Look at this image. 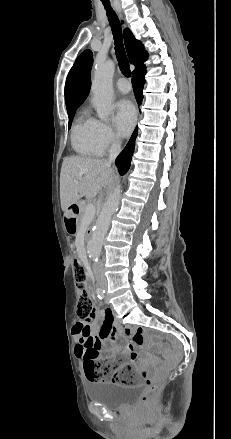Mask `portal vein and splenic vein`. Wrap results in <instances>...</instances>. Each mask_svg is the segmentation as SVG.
<instances>
[{"instance_id":"18ae733b","label":"portal vein and splenic vein","mask_w":231,"mask_h":439,"mask_svg":"<svg viewBox=\"0 0 231 439\" xmlns=\"http://www.w3.org/2000/svg\"><path fill=\"white\" fill-rule=\"evenodd\" d=\"M95 215V206L92 202H89L86 207L85 219H91Z\"/></svg>"}]
</instances>
